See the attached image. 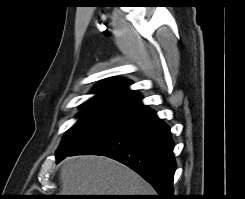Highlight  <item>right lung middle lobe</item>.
Wrapping results in <instances>:
<instances>
[{
	"label": "right lung middle lobe",
	"mask_w": 245,
	"mask_h": 199,
	"mask_svg": "<svg viewBox=\"0 0 245 199\" xmlns=\"http://www.w3.org/2000/svg\"><path fill=\"white\" fill-rule=\"evenodd\" d=\"M78 121L65 133L56 158L66 157L109 132L127 116L82 108Z\"/></svg>",
	"instance_id": "1"
}]
</instances>
